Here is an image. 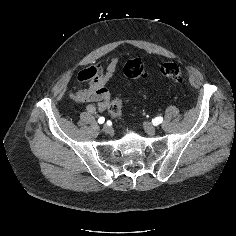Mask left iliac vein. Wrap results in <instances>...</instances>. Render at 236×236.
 <instances>
[{"label": "left iliac vein", "mask_w": 236, "mask_h": 236, "mask_svg": "<svg viewBox=\"0 0 236 236\" xmlns=\"http://www.w3.org/2000/svg\"><path fill=\"white\" fill-rule=\"evenodd\" d=\"M144 130L149 135H154L157 132V129L154 125H152L150 122H144L143 123Z\"/></svg>", "instance_id": "4c4485c4"}]
</instances>
